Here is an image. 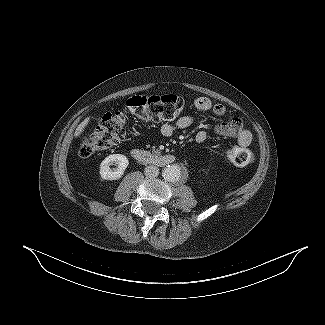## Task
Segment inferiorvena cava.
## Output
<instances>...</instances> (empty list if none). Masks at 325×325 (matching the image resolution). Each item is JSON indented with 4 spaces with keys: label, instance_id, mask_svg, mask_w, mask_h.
I'll return each instance as SVG.
<instances>
[{
    "label": "inferior vena cava",
    "instance_id": "obj_1",
    "mask_svg": "<svg viewBox=\"0 0 325 325\" xmlns=\"http://www.w3.org/2000/svg\"><path fill=\"white\" fill-rule=\"evenodd\" d=\"M145 176L149 178H154L159 175V168L153 165H149L144 170Z\"/></svg>",
    "mask_w": 325,
    "mask_h": 325
}]
</instances>
